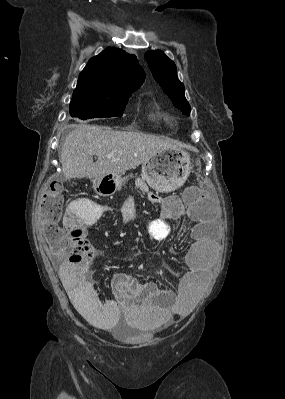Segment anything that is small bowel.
Here are the masks:
<instances>
[{"label":"small bowel","mask_w":285,"mask_h":399,"mask_svg":"<svg viewBox=\"0 0 285 399\" xmlns=\"http://www.w3.org/2000/svg\"><path fill=\"white\" fill-rule=\"evenodd\" d=\"M136 187L143 189L137 183ZM151 203L161 206L163 215L147 225L149 236L165 240L171 236L169 217L193 218L194 211L182 204L176 197L162 200L154 193H148ZM105 206L76 198L69 203L63 220L68 249L72 253L61 261L59 277L74 308L89 322L101 329L110 330L120 322L132 323L143 330L154 331L165 327L175 319L188 317L201 295L208 278L205 260L203 231L197 230L184 254L185 270L177 278L176 291L161 289L154 283H142L130 273L113 278L111 298L102 301L89 280V263L92 251L87 243V228L101 218ZM124 218L132 223L136 220L133 196L129 195L121 207ZM80 213L81 218L76 214Z\"/></svg>","instance_id":"small-bowel-1"}]
</instances>
